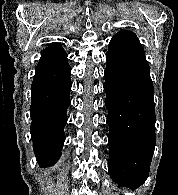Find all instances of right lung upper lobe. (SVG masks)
Wrapping results in <instances>:
<instances>
[{
  "label": "right lung upper lobe",
  "mask_w": 178,
  "mask_h": 195,
  "mask_svg": "<svg viewBox=\"0 0 178 195\" xmlns=\"http://www.w3.org/2000/svg\"><path fill=\"white\" fill-rule=\"evenodd\" d=\"M66 60L67 53L65 50L60 45L53 43L48 48L44 49L37 67L57 64Z\"/></svg>",
  "instance_id": "1"
}]
</instances>
